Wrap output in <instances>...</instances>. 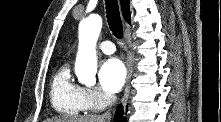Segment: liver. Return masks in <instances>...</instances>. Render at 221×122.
<instances>
[{
  "label": "liver",
  "mask_w": 221,
  "mask_h": 122,
  "mask_svg": "<svg viewBox=\"0 0 221 122\" xmlns=\"http://www.w3.org/2000/svg\"><path fill=\"white\" fill-rule=\"evenodd\" d=\"M106 118L100 115H87L82 117H62V118H49L45 122H107Z\"/></svg>",
  "instance_id": "obj_1"
}]
</instances>
